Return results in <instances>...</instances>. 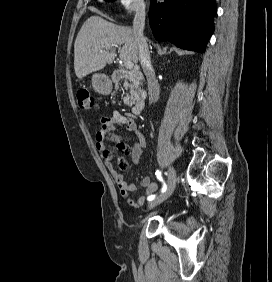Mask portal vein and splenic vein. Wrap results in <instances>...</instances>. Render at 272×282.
I'll use <instances>...</instances> for the list:
<instances>
[{"instance_id": "portal-vein-and-splenic-vein-1", "label": "portal vein and splenic vein", "mask_w": 272, "mask_h": 282, "mask_svg": "<svg viewBox=\"0 0 272 282\" xmlns=\"http://www.w3.org/2000/svg\"><path fill=\"white\" fill-rule=\"evenodd\" d=\"M124 66H125L126 69H133L134 63L132 61H126L124 63Z\"/></svg>"}]
</instances>
